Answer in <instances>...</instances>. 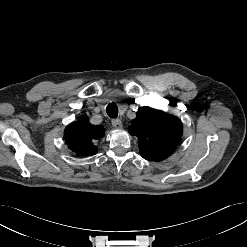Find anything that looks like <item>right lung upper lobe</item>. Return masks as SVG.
<instances>
[{
  "mask_svg": "<svg viewBox=\"0 0 247 247\" xmlns=\"http://www.w3.org/2000/svg\"><path fill=\"white\" fill-rule=\"evenodd\" d=\"M104 131L103 126H93L88 120L80 119L66 127L64 138L69 148L78 155H93L97 152L94 142L103 136Z\"/></svg>",
  "mask_w": 247,
  "mask_h": 247,
  "instance_id": "obj_1",
  "label": "right lung upper lobe"
}]
</instances>
